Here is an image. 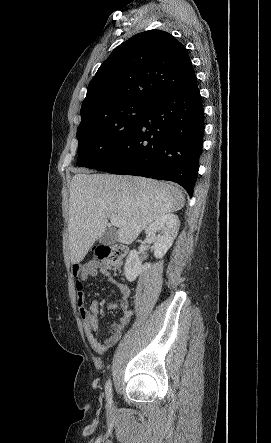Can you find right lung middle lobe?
I'll list each match as a JSON object with an SVG mask.
<instances>
[{
    "instance_id": "dd1d6c3e",
    "label": "right lung middle lobe",
    "mask_w": 271,
    "mask_h": 443,
    "mask_svg": "<svg viewBox=\"0 0 271 443\" xmlns=\"http://www.w3.org/2000/svg\"><path fill=\"white\" fill-rule=\"evenodd\" d=\"M149 103L126 101L81 121L77 129L78 167L97 168L106 162L144 116Z\"/></svg>"
}]
</instances>
